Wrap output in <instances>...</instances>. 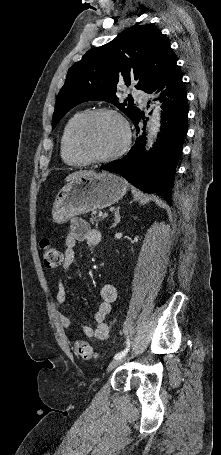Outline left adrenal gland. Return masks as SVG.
Instances as JSON below:
<instances>
[{"mask_svg":"<svg viewBox=\"0 0 221 455\" xmlns=\"http://www.w3.org/2000/svg\"><path fill=\"white\" fill-rule=\"evenodd\" d=\"M114 218L115 219H114V223H113L112 227L117 226V224H119V222L121 221L120 208L119 207L115 210Z\"/></svg>","mask_w":221,"mask_h":455,"instance_id":"left-adrenal-gland-1","label":"left adrenal gland"}]
</instances>
